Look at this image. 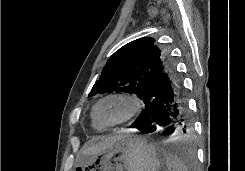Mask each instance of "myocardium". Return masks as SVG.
<instances>
[{"label":"myocardium","mask_w":245,"mask_h":171,"mask_svg":"<svg viewBox=\"0 0 245 171\" xmlns=\"http://www.w3.org/2000/svg\"><path fill=\"white\" fill-rule=\"evenodd\" d=\"M109 99L122 100L126 102L128 106L127 113L125 114L124 117H122L120 120H117L115 122H110V123L102 121L97 114L98 107L100 106V104ZM140 109H141V101L138 96L128 92H117V93H111L105 95L104 97L100 98L93 108L92 116L101 126L114 127V126L124 124L130 121L131 119H133L139 113Z\"/></svg>","instance_id":"myocardium-1"}]
</instances>
